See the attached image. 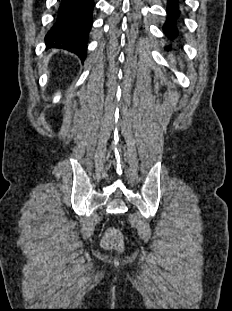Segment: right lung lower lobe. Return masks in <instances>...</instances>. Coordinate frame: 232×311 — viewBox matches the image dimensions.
I'll return each mask as SVG.
<instances>
[{
  "label": "right lung lower lobe",
  "instance_id": "98d812e1",
  "mask_svg": "<svg viewBox=\"0 0 232 311\" xmlns=\"http://www.w3.org/2000/svg\"><path fill=\"white\" fill-rule=\"evenodd\" d=\"M94 6V0H61L55 23L45 37L47 45L73 52L84 60Z\"/></svg>",
  "mask_w": 232,
  "mask_h": 311
}]
</instances>
